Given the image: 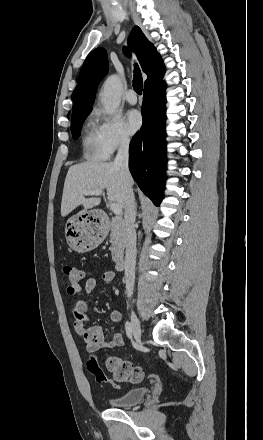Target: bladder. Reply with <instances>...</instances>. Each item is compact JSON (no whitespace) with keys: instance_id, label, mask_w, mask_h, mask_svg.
Instances as JSON below:
<instances>
[{"instance_id":"bladder-1","label":"bladder","mask_w":263,"mask_h":440,"mask_svg":"<svg viewBox=\"0 0 263 440\" xmlns=\"http://www.w3.org/2000/svg\"><path fill=\"white\" fill-rule=\"evenodd\" d=\"M147 388L144 386L130 388L122 395L113 397L110 399V405L114 408H126L130 407L145 397Z\"/></svg>"}]
</instances>
